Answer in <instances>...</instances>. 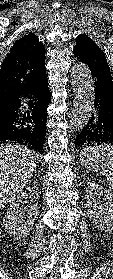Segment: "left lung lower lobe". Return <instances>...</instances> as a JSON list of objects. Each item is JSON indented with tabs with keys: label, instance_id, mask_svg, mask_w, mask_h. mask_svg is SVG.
Wrapping results in <instances>:
<instances>
[{
	"label": "left lung lower lobe",
	"instance_id": "obj_1",
	"mask_svg": "<svg viewBox=\"0 0 113 279\" xmlns=\"http://www.w3.org/2000/svg\"><path fill=\"white\" fill-rule=\"evenodd\" d=\"M89 69L95 85V106L75 139L76 148L94 143L113 144V80L95 68Z\"/></svg>",
	"mask_w": 113,
	"mask_h": 279
}]
</instances>
